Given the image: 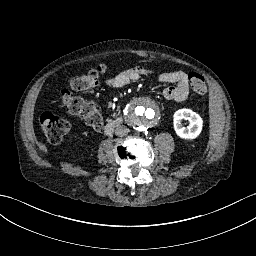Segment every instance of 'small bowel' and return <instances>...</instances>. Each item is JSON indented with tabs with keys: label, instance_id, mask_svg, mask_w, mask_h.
Masks as SVG:
<instances>
[{
	"label": "small bowel",
	"instance_id": "c3829d8e",
	"mask_svg": "<svg viewBox=\"0 0 256 256\" xmlns=\"http://www.w3.org/2000/svg\"><path fill=\"white\" fill-rule=\"evenodd\" d=\"M145 73H148V71L142 67L125 69L109 78L106 83L109 87L120 89L130 82L137 80L141 74ZM158 79L162 83L173 84L163 90L164 98L182 101L188 96L189 80L186 73L182 71L164 72L159 75Z\"/></svg>",
	"mask_w": 256,
	"mask_h": 256
}]
</instances>
